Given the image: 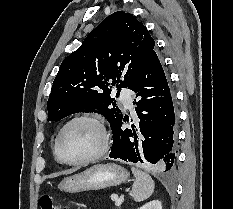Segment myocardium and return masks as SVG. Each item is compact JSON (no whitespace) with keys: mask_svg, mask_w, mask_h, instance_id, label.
Segmentation results:
<instances>
[{"mask_svg":"<svg viewBox=\"0 0 233 209\" xmlns=\"http://www.w3.org/2000/svg\"><path fill=\"white\" fill-rule=\"evenodd\" d=\"M79 121H89V122L94 123L98 127L101 133V144L99 148L97 149V151H95L93 154L86 156L84 158L78 159V160L69 161V160L64 159L60 154V142L66 129L70 125L76 122H79ZM109 144H110V137H109V133H108V130L106 128V125L103 119L99 115L94 114V113H82V114L72 117L61 127L55 139L54 155L56 159L62 164L69 165V166L83 165V164H87L92 161H95L99 159L100 157H102L107 152L109 148Z\"/></svg>","mask_w":233,"mask_h":209,"instance_id":"f54148a6","label":"myocardium"}]
</instances>
